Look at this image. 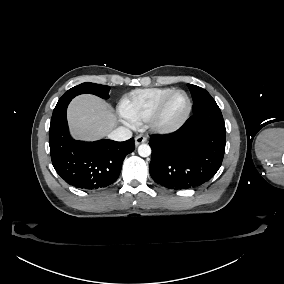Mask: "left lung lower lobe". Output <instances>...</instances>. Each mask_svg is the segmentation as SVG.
<instances>
[{
  "instance_id": "obj_1",
  "label": "left lung lower lobe",
  "mask_w": 284,
  "mask_h": 284,
  "mask_svg": "<svg viewBox=\"0 0 284 284\" xmlns=\"http://www.w3.org/2000/svg\"><path fill=\"white\" fill-rule=\"evenodd\" d=\"M225 144L226 129L219 107L200 110L174 133L151 136L150 175L168 189L197 187L220 168Z\"/></svg>"
}]
</instances>
